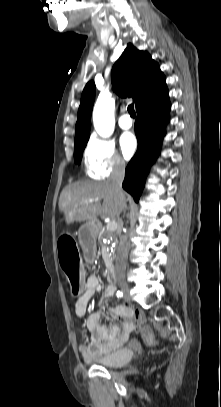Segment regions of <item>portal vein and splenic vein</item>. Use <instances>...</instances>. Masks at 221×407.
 I'll list each match as a JSON object with an SVG mask.
<instances>
[{
  "mask_svg": "<svg viewBox=\"0 0 221 407\" xmlns=\"http://www.w3.org/2000/svg\"><path fill=\"white\" fill-rule=\"evenodd\" d=\"M93 200H83L82 203L91 204ZM107 231H115L117 229V222L115 220L110 221L107 226Z\"/></svg>",
  "mask_w": 221,
  "mask_h": 407,
  "instance_id": "portal-vein-and-splenic-vein-1",
  "label": "portal vein and splenic vein"
}]
</instances>
